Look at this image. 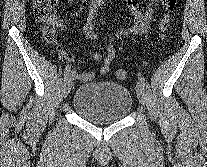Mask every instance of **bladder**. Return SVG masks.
Masks as SVG:
<instances>
[{
	"label": "bladder",
	"instance_id": "31cf9c89",
	"mask_svg": "<svg viewBox=\"0 0 207 167\" xmlns=\"http://www.w3.org/2000/svg\"><path fill=\"white\" fill-rule=\"evenodd\" d=\"M132 96L123 85L98 81L81 85L73 98L74 110L94 123H114L125 118L132 108Z\"/></svg>",
	"mask_w": 207,
	"mask_h": 167
}]
</instances>
